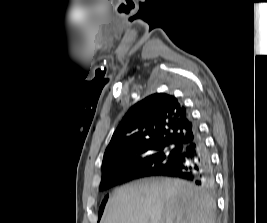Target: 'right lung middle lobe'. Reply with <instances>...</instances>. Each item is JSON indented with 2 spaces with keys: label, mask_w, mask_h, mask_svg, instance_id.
Returning a JSON list of instances; mask_svg holds the SVG:
<instances>
[{
  "label": "right lung middle lobe",
  "mask_w": 267,
  "mask_h": 223,
  "mask_svg": "<svg viewBox=\"0 0 267 223\" xmlns=\"http://www.w3.org/2000/svg\"><path fill=\"white\" fill-rule=\"evenodd\" d=\"M179 154L180 151L176 147H164L158 152H154L149 154L148 156H145V158L139 162L138 165L140 167L136 172L147 175L156 174L159 171L171 167L177 160ZM103 185L100 186L101 189L103 188ZM107 199L108 196L104 198L101 204L99 216H101L103 212V208Z\"/></svg>",
  "instance_id": "right-lung-middle-lobe-1"
}]
</instances>
